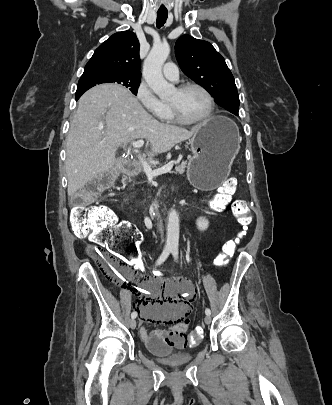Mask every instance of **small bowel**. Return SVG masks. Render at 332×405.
Here are the masks:
<instances>
[{"label": "small bowel", "instance_id": "1", "mask_svg": "<svg viewBox=\"0 0 332 405\" xmlns=\"http://www.w3.org/2000/svg\"><path fill=\"white\" fill-rule=\"evenodd\" d=\"M132 284L139 287L137 310L142 319L140 336L147 349H154L156 353H185V332L189 325L182 323L192 306H196V297H191L192 288L186 280H162L159 277L151 280H139L129 269L125 270L124 287ZM164 322L168 330H154L149 332L145 323Z\"/></svg>", "mask_w": 332, "mask_h": 405}]
</instances>
